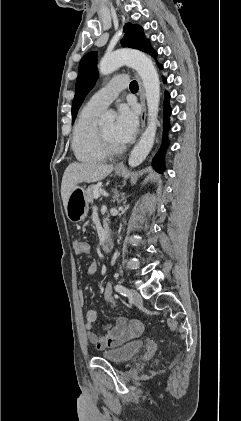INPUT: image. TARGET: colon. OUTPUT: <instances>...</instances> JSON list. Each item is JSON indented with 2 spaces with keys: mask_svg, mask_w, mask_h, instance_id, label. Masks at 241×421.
I'll use <instances>...</instances> for the list:
<instances>
[{
  "mask_svg": "<svg viewBox=\"0 0 241 421\" xmlns=\"http://www.w3.org/2000/svg\"><path fill=\"white\" fill-rule=\"evenodd\" d=\"M75 251L78 254L86 255L90 252V245L86 241H77L75 245ZM103 296L105 301L110 305V307L115 306V295L112 289V285L107 283L103 288Z\"/></svg>",
  "mask_w": 241,
  "mask_h": 421,
  "instance_id": "1",
  "label": "colon"
}]
</instances>
